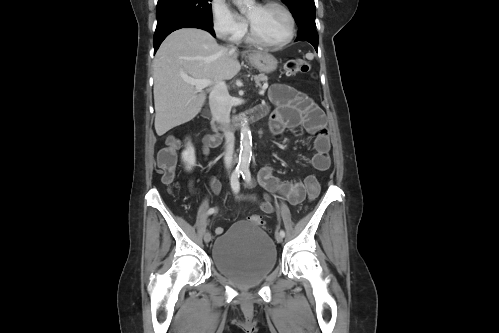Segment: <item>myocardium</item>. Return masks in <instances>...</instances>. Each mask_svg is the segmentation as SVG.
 <instances>
[{
	"label": "myocardium",
	"mask_w": 499,
	"mask_h": 333,
	"mask_svg": "<svg viewBox=\"0 0 499 333\" xmlns=\"http://www.w3.org/2000/svg\"><path fill=\"white\" fill-rule=\"evenodd\" d=\"M261 6L262 7H276V8L281 9L286 14V16L288 18V21H289L288 35L286 36V38H284L281 41L270 42V41H267V40H264L263 38H261L256 33V31L254 30V28L252 27V25L250 23H248V35H249V38L254 43H256V44H258L260 46H264V47L278 48V47H283V46L289 44L293 40V38L295 36V27H296L295 18L293 16V13L291 12V10L286 5H284L283 3L278 2V1H273V0H267L264 3H262Z\"/></svg>",
	"instance_id": "f54148a6"
}]
</instances>
